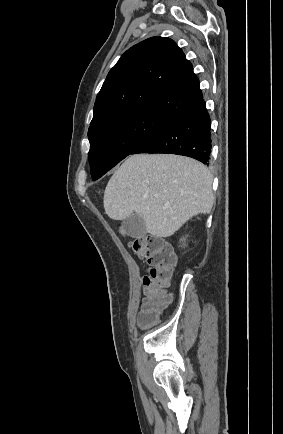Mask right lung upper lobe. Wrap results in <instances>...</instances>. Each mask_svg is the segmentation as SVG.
<instances>
[{
    "label": "right lung upper lobe",
    "mask_w": 283,
    "mask_h": 434,
    "mask_svg": "<svg viewBox=\"0 0 283 434\" xmlns=\"http://www.w3.org/2000/svg\"><path fill=\"white\" fill-rule=\"evenodd\" d=\"M202 100L199 80L181 48L169 38L152 37L128 49L110 70L89 128L135 112L172 119Z\"/></svg>",
    "instance_id": "1"
}]
</instances>
